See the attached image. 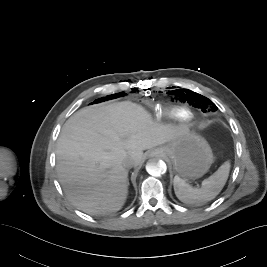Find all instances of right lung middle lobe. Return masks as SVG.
I'll list each match as a JSON object with an SVG mask.
<instances>
[{
	"instance_id": "1",
	"label": "right lung middle lobe",
	"mask_w": 267,
	"mask_h": 267,
	"mask_svg": "<svg viewBox=\"0 0 267 267\" xmlns=\"http://www.w3.org/2000/svg\"><path fill=\"white\" fill-rule=\"evenodd\" d=\"M111 96H113V97H111ZM120 96H124V93H121V94H113V95H110L108 97H103L101 99H97L95 102H101V101H105V100L116 98V97H120Z\"/></svg>"
}]
</instances>
